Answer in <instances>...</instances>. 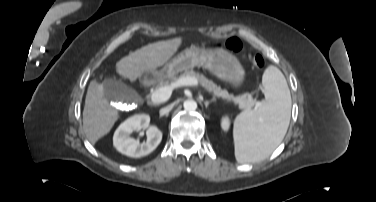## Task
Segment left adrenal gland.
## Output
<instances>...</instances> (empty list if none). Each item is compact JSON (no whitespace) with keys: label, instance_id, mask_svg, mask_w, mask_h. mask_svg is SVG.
<instances>
[{"label":"left adrenal gland","instance_id":"obj_1","mask_svg":"<svg viewBox=\"0 0 376 202\" xmlns=\"http://www.w3.org/2000/svg\"><path fill=\"white\" fill-rule=\"evenodd\" d=\"M209 104H210V101H208V100L204 102V105H205L206 108L209 106Z\"/></svg>","mask_w":376,"mask_h":202}]
</instances>
